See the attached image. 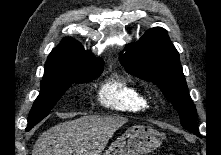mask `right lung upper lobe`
<instances>
[{
    "mask_svg": "<svg viewBox=\"0 0 221 155\" xmlns=\"http://www.w3.org/2000/svg\"><path fill=\"white\" fill-rule=\"evenodd\" d=\"M104 66L103 60H96L91 52L85 51L74 39H64L52 50L45 64V72H64L72 69Z\"/></svg>",
    "mask_w": 221,
    "mask_h": 155,
    "instance_id": "right-lung-upper-lobe-1",
    "label": "right lung upper lobe"
}]
</instances>
